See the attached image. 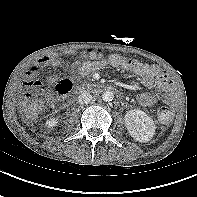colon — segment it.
Here are the masks:
<instances>
[{"instance_id": "5ec220e1", "label": "colon", "mask_w": 197, "mask_h": 197, "mask_svg": "<svg viewBox=\"0 0 197 197\" xmlns=\"http://www.w3.org/2000/svg\"><path fill=\"white\" fill-rule=\"evenodd\" d=\"M97 56H100V54H97ZM29 86L32 89L41 90L42 89V83L39 81H33L29 84ZM73 88V81L71 79H62L57 85H56V92L58 96H62L67 94L71 91ZM40 93H36L34 95H31L28 97V99L25 102V108L27 113L30 116H35L38 114L40 109V99H39ZM173 112L172 110L167 106H162L158 110V119L163 123H168L172 120Z\"/></svg>"}]
</instances>
